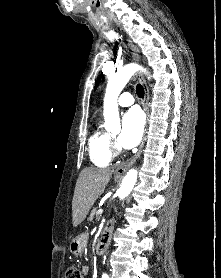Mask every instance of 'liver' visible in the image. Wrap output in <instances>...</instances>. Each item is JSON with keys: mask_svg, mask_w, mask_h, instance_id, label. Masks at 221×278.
Listing matches in <instances>:
<instances>
[{"mask_svg": "<svg viewBox=\"0 0 221 278\" xmlns=\"http://www.w3.org/2000/svg\"><path fill=\"white\" fill-rule=\"evenodd\" d=\"M113 171L107 168H85L81 171L72 200L73 226L80 225L95 201L102 195Z\"/></svg>", "mask_w": 221, "mask_h": 278, "instance_id": "1", "label": "liver"}]
</instances>
